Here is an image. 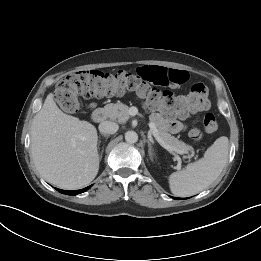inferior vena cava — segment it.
Instances as JSON below:
<instances>
[{"label": "inferior vena cava", "instance_id": "inferior-vena-cava-1", "mask_svg": "<svg viewBox=\"0 0 261 261\" xmlns=\"http://www.w3.org/2000/svg\"><path fill=\"white\" fill-rule=\"evenodd\" d=\"M118 124L112 122V121H104L99 124V131L101 134H114L118 130Z\"/></svg>", "mask_w": 261, "mask_h": 261}]
</instances>
